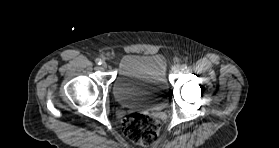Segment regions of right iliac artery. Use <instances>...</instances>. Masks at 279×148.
Returning <instances> with one entry per match:
<instances>
[{
	"instance_id": "1",
	"label": "right iliac artery",
	"mask_w": 279,
	"mask_h": 148,
	"mask_svg": "<svg viewBox=\"0 0 279 148\" xmlns=\"http://www.w3.org/2000/svg\"><path fill=\"white\" fill-rule=\"evenodd\" d=\"M95 62H96V64H98V65H101V64H102V60H101L100 58H97V59L95 60Z\"/></svg>"
}]
</instances>
